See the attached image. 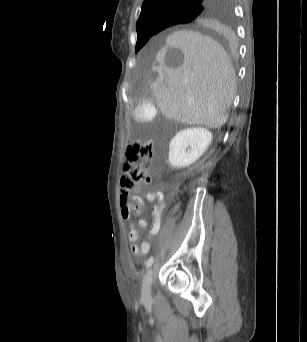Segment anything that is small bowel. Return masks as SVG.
Segmentation results:
<instances>
[{"mask_svg": "<svg viewBox=\"0 0 307 342\" xmlns=\"http://www.w3.org/2000/svg\"><path fill=\"white\" fill-rule=\"evenodd\" d=\"M145 199L147 201H156L152 208V216H153V223L148 231V238L152 239L154 238L159 230H160V218L161 214L164 210L165 204H164V196L160 191H148L145 194ZM132 200L137 202V206L135 207V210L139 212L144 206L145 202L144 200L140 199L137 196H132ZM123 216L126 219H130V209H126L123 211ZM139 228H145L147 226V222L145 219H141L138 222ZM129 238L131 241L135 242L139 239V230L132 224L129 230ZM150 249V243L149 241H144L140 245L133 244L131 246V251L135 255H144L146 254Z\"/></svg>", "mask_w": 307, "mask_h": 342, "instance_id": "1", "label": "small bowel"}]
</instances>
